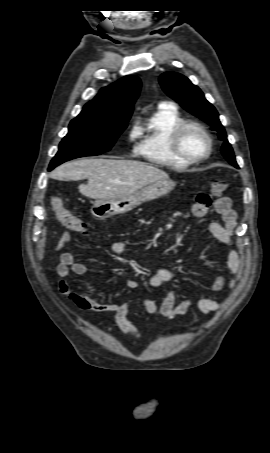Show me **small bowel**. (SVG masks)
<instances>
[{
    "label": "small bowel",
    "mask_w": 270,
    "mask_h": 453,
    "mask_svg": "<svg viewBox=\"0 0 270 453\" xmlns=\"http://www.w3.org/2000/svg\"><path fill=\"white\" fill-rule=\"evenodd\" d=\"M214 207L215 211L220 215L222 222H211L208 228L218 241L229 247L226 265L231 274L229 278L225 275H219L215 278L211 286V291L219 293L225 289L233 290L235 288L241 268V256L240 250L235 247L231 241L236 228V214L232 208L231 200L228 197L218 198L215 201ZM192 211L194 216L204 217L207 214L208 205L199 201L197 198ZM71 240L72 235L69 232H63L58 240L56 250L63 249L71 242ZM125 246L124 241H116L112 245V251L116 255H122L125 251ZM86 271L87 268L85 264L75 261L73 254L68 252L63 253L60 258V263L57 266V274L61 277V280L58 283L59 291L68 296L75 305L83 311L114 314V317L111 320L112 324L117 329L127 334L134 342H139L141 339L140 333L127 319L128 312L135 305L134 302L124 304L114 302L104 303L71 289L67 280L70 274L74 273L81 276L84 275ZM177 276L178 274L176 271L162 268L151 277L150 284L153 287H160L165 283L175 280ZM139 286V282L135 279H129L127 281V287L129 289H137ZM222 304L223 301L201 296L177 302V297L173 290H168L161 298L146 299L139 302V305L147 312L151 314H160L168 320H172L178 315L187 313L193 307H197L203 314H211L219 310L222 307ZM195 322H197V320Z\"/></svg>",
    "instance_id": "c3829d8e"
}]
</instances>
